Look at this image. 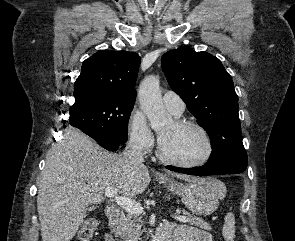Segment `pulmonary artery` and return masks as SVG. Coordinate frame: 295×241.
Wrapping results in <instances>:
<instances>
[{
	"mask_svg": "<svg viewBox=\"0 0 295 241\" xmlns=\"http://www.w3.org/2000/svg\"><path fill=\"white\" fill-rule=\"evenodd\" d=\"M162 101L166 109L174 116H180L183 113L185 105L177 93L173 91L165 92Z\"/></svg>",
	"mask_w": 295,
	"mask_h": 241,
	"instance_id": "obj_1",
	"label": "pulmonary artery"
}]
</instances>
